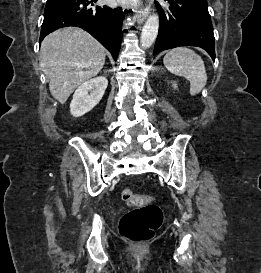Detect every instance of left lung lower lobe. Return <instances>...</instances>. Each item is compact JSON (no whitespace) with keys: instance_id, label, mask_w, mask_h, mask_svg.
<instances>
[{"instance_id":"obj_1","label":"left lung lower lobe","mask_w":261,"mask_h":273,"mask_svg":"<svg viewBox=\"0 0 261 273\" xmlns=\"http://www.w3.org/2000/svg\"><path fill=\"white\" fill-rule=\"evenodd\" d=\"M165 8L156 2L160 22L154 53L178 46H197L215 60L213 26L207 0H167Z\"/></svg>"}]
</instances>
